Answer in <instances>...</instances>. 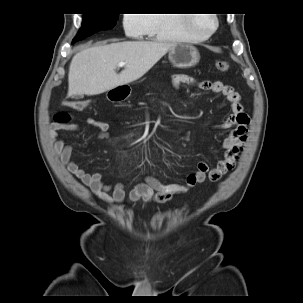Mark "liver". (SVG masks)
<instances>
[{"label":"liver","mask_w":303,"mask_h":303,"mask_svg":"<svg viewBox=\"0 0 303 303\" xmlns=\"http://www.w3.org/2000/svg\"><path fill=\"white\" fill-rule=\"evenodd\" d=\"M175 43L167 41H124L84 49L71 60L68 97L97 95L131 83L147 73ZM124 62L121 73L116 67Z\"/></svg>","instance_id":"liver-1"}]
</instances>
